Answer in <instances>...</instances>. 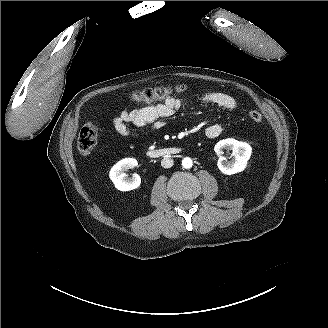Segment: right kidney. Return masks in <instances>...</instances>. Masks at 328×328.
<instances>
[{"instance_id":"right-kidney-1","label":"right kidney","mask_w":328,"mask_h":328,"mask_svg":"<svg viewBox=\"0 0 328 328\" xmlns=\"http://www.w3.org/2000/svg\"><path fill=\"white\" fill-rule=\"evenodd\" d=\"M138 165L134 158H125L116 163L110 170L109 177L115 187L121 191L133 190L140 186L141 179L138 174H133V179L129 180L126 177L125 171L133 169Z\"/></svg>"}]
</instances>
